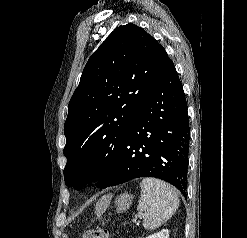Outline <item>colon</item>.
Here are the masks:
<instances>
[{
    "label": "colon",
    "instance_id": "5ec220e1",
    "mask_svg": "<svg viewBox=\"0 0 247 238\" xmlns=\"http://www.w3.org/2000/svg\"><path fill=\"white\" fill-rule=\"evenodd\" d=\"M83 238H108V232L106 229L98 228L86 232Z\"/></svg>",
    "mask_w": 247,
    "mask_h": 238
}]
</instances>
